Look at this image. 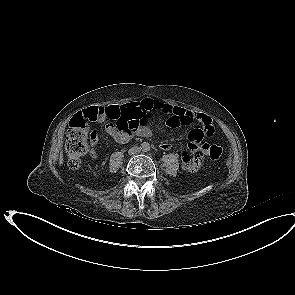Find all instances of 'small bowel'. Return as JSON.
I'll return each instance as SVG.
<instances>
[{
    "instance_id": "c3829d8e",
    "label": "small bowel",
    "mask_w": 295,
    "mask_h": 295,
    "mask_svg": "<svg viewBox=\"0 0 295 295\" xmlns=\"http://www.w3.org/2000/svg\"><path fill=\"white\" fill-rule=\"evenodd\" d=\"M120 109L123 110L132 121L138 122V126L133 129H120L113 120L106 124L105 129L107 134L116 142L122 144L129 142L135 136L149 137L152 134L147 124L149 112H156L158 115L165 116L166 123L170 128L199 122L202 128H195L189 132V150L182 152L181 162L183 168L187 170H198L201 168L202 159L209 151V144L202 143V141L204 138H212L215 135L212 119L207 114L147 98L137 102L126 103L121 107H89L84 109L80 113V116L85 117L90 122L102 123L107 119V112L111 113ZM90 140L91 149L89 153L92 158H96L97 153L95 151V146L99 140L96 131L92 132ZM159 146L164 150H168L172 147V144L168 141H162Z\"/></svg>"
}]
</instances>
